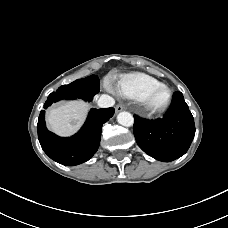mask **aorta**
I'll use <instances>...</instances> for the list:
<instances>
[{
    "label": "aorta",
    "instance_id": "obj_1",
    "mask_svg": "<svg viewBox=\"0 0 228 228\" xmlns=\"http://www.w3.org/2000/svg\"><path fill=\"white\" fill-rule=\"evenodd\" d=\"M117 121L122 126L130 127L134 123V118L131 113L124 111L117 115Z\"/></svg>",
    "mask_w": 228,
    "mask_h": 228
}]
</instances>
